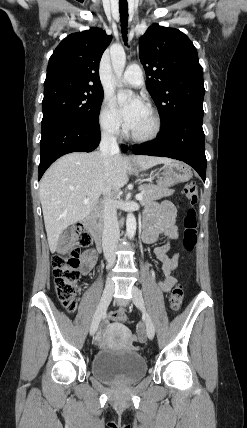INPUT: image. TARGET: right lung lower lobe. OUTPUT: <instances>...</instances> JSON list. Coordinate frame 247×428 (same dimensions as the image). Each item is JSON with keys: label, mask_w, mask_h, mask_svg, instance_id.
<instances>
[{"label": "right lung lower lobe", "mask_w": 247, "mask_h": 428, "mask_svg": "<svg viewBox=\"0 0 247 428\" xmlns=\"http://www.w3.org/2000/svg\"><path fill=\"white\" fill-rule=\"evenodd\" d=\"M100 142V126L57 118L42 122L39 179L59 157L71 152H91ZM126 151V146L122 147Z\"/></svg>", "instance_id": "right-lung-lower-lobe-1"}]
</instances>
